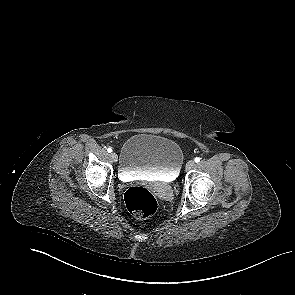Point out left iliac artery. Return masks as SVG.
<instances>
[{
  "label": "left iliac artery",
  "instance_id": "1",
  "mask_svg": "<svg viewBox=\"0 0 295 295\" xmlns=\"http://www.w3.org/2000/svg\"><path fill=\"white\" fill-rule=\"evenodd\" d=\"M194 161H195L196 163H198V162H200V158H199V157H196V158L194 159Z\"/></svg>",
  "mask_w": 295,
  "mask_h": 295
}]
</instances>
